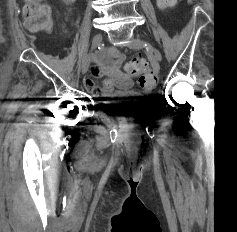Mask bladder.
I'll return each mask as SVG.
<instances>
[{
  "instance_id": "31cf9c89",
  "label": "bladder",
  "mask_w": 237,
  "mask_h": 232,
  "mask_svg": "<svg viewBox=\"0 0 237 232\" xmlns=\"http://www.w3.org/2000/svg\"><path fill=\"white\" fill-rule=\"evenodd\" d=\"M132 92L118 94L117 98L106 99L100 102L102 109L111 117L130 118L139 113L141 103L131 99Z\"/></svg>"
}]
</instances>
